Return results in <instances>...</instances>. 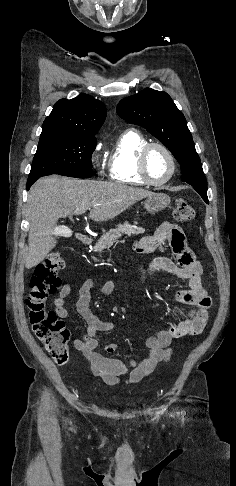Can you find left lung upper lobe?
Listing matches in <instances>:
<instances>
[{"label": "left lung upper lobe", "instance_id": "obj_1", "mask_svg": "<svg viewBox=\"0 0 236 486\" xmlns=\"http://www.w3.org/2000/svg\"><path fill=\"white\" fill-rule=\"evenodd\" d=\"M117 113L127 122L146 128L159 139L181 164L182 181L193 186L209 203L205 175L186 119L167 93L144 89L121 100Z\"/></svg>", "mask_w": 236, "mask_h": 486}]
</instances>
